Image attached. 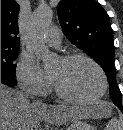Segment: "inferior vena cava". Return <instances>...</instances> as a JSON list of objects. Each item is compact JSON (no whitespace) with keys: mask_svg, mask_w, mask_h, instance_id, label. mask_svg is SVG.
I'll return each instance as SVG.
<instances>
[{"mask_svg":"<svg viewBox=\"0 0 123 130\" xmlns=\"http://www.w3.org/2000/svg\"><path fill=\"white\" fill-rule=\"evenodd\" d=\"M33 103H38V101H34Z\"/></svg>","mask_w":123,"mask_h":130,"instance_id":"602c4592","label":"inferior vena cava"}]
</instances>
